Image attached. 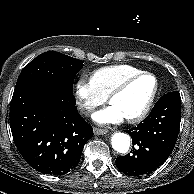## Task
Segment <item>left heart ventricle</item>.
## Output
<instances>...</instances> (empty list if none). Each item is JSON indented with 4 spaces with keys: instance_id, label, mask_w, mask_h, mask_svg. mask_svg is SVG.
Wrapping results in <instances>:
<instances>
[{
    "instance_id": "1",
    "label": "left heart ventricle",
    "mask_w": 194,
    "mask_h": 194,
    "mask_svg": "<svg viewBox=\"0 0 194 194\" xmlns=\"http://www.w3.org/2000/svg\"><path fill=\"white\" fill-rule=\"evenodd\" d=\"M154 87L155 81L152 77H141L132 82L125 91L115 97L111 105L124 119L133 117L144 108Z\"/></svg>"
}]
</instances>
